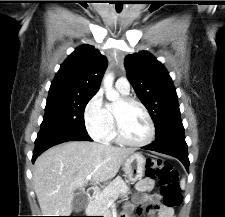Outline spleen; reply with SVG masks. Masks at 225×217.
Returning a JSON list of instances; mask_svg holds the SVG:
<instances>
[{
    "mask_svg": "<svg viewBox=\"0 0 225 217\" xmlns=\"http://www.w3.org/2000/svg\"><path fill=\"white\" fill-rule=\"evenodd\" d=\"M181 187H182V188L185 187V179H182V181H181Z\"/></svg>",
    "mask_w": 225,
    "mask_h": 217,
    "instance_id": "obj_1",
    "label": "spleen"
}]
</instances>
